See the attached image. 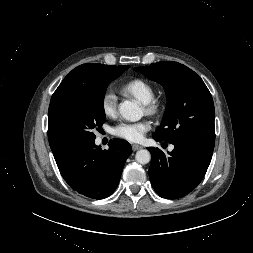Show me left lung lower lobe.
Returning a JSON list of instances; mask_svg holds the SVG:
<instances>
[{
	"mask_svg": "<svg viewBox=\"0 0 253 253\" xmlns=\"http://www.w3.org/2000/svg\"><path fill=\"white\" fill-rule=\"evenodd\" d=\"M156 141L163 140L154 137ZM174 149L164 154L158 148L151 153L149 177L156 193L167 199L183 197L195 189L210 164L213 149L193 141L172 142Z\"/></svg>",
	"mask_w": 253,
	"mask_h": 253,
	"instance_id": "left-lung-lower-lobe-1",
	"label": "left lung lower lobe"
}]
</instances>
